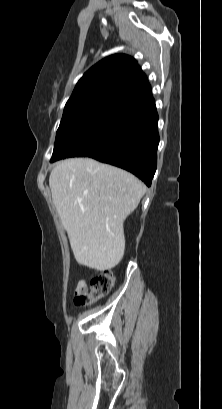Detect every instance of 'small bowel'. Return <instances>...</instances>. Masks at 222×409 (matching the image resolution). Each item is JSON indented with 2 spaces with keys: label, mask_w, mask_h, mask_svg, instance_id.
Listing matches in <instances>:
<instances>
[{
  "label": "small bowel",
  "mask_w": 222,
  "mask_h": 409,
  "mask_svg": "<svg viewBox=\"0 0 222 409\" xmlns=\"http://www.w3.org/2000/svg\"><path fill=\"white\" fill-rule=\"evenodd\" d=\"M88 290V283L85 280H80L76 286V293L85 292Z\"/></svg>",
  "instance_id": "small-bowel-1"
}]
</instances>
